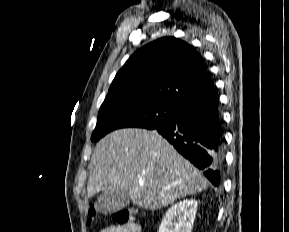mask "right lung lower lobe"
<instances>
[{
	"label": "right lung lower lobe",
	"mask_w": 289,
	"mask_h": 232,
	"mask_svg": "<svg viewBox=\"0 0 289 232\" xmlns=\"http://www.w3.org/2000/svg\"><path fill=\"white\" fill-rule=\"evenodd\" d=\"M155 129L214 186L220 184L224 139L218 97L181 106L173 120Z\"/></svg>",
	"instance_id": "1"
}]
</instances>
